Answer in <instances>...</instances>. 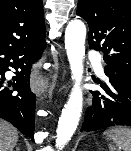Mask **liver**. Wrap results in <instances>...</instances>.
Instances as JSON below:
<instances>
[{"label":"liver","mask_w":131,"mask_h":151,"mask_svg":"<svg viewBox=\"0 0 131 151\" xmlns=\"http://www.w3.org/2000/svg\"><path fill=\"white\" fill-rule=\"evenodd\" d=\"M17 140V130L8 122L0 120V151H13Z\"/></svg>","instance_id":"liver-1"}]
</instances>
